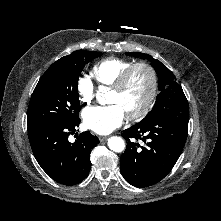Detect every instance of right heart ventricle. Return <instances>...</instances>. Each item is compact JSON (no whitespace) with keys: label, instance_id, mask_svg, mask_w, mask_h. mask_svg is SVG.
I'll list each match as a JSON object with an SVG mask.
<instances>
[{"label":"right heart ventricle","instance_id":"e07e8e85","mask_svg":"<svg viewBox=\"0 0 221 221\" xmlns=\"http://www.w3.org/2000/svg\"><path fill=\"white\" fill-rule=\"evenodd\" d=\"M131 64H133L131 60L124 58H105L93 66L92 75L100 85L112 87Z\"/></svg>","mask_w":221,"mask_h":221}]
</instances>
